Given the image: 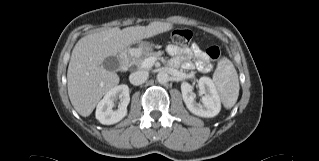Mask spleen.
<instances>
[{
  "label": "spleen",
  "mask_w": 319,
  "mask_h": 161,
  "mask_svg": "<svg viewBox=\"0 0 319 161\" xmlns=\"http://www.w3.org/2000/svg\"><path fill=\"white\" fill-rule=\"evenodd\" d=\"M213 82L226 109L232 108L239 96V80L233 63L226 57L219 60Z\"/></svg>",
  "instance_id": "1"
}]
</instances>
